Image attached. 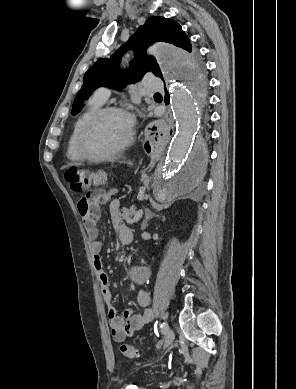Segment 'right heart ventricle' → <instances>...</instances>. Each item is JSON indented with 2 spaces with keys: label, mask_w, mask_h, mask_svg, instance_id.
Instances as JSON below:
<instances>
[{
  "label": "right heart ventricle",
  "mask_w": 296,
  "mask_h": 389,
  "mask_svg": "<svg viewBox=\"0 0 296 389\" xmlns=\"http://www.w3.org/2000/svg\"><path fill=\"white\" fill-rule=\"evenodd\" d=\"M104 104V101L97 98L95 95L88 101L87 106L83 113L78 117L76 120L72 133L69 137L68 144H67V157L71 161H81L82 156L79 153L78 150V137L80 130L84 123L100 108H102Z\"/></svg>",
  "instance_id": "obj_1"
}]
</instances>
